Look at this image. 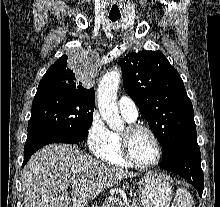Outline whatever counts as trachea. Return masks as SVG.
Segmentation results:
<instances>
[{"label":"trachea","mask_w":220,"mask_h":207,"mask_svg":"<svg viewBox=\"0 0 220 207\" xmlns=\"http://www.w3.org/2000/svg\"><path fill=\"white\" fill-rule=\"evenodd\" d=\"M118 19H119L118 17H110V20H111L112 22H116Z\"/></svg>","instance_id":"trachea-1"}]
</instances>
